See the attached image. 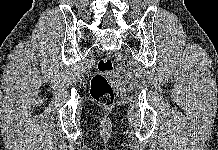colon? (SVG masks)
<instances>
[{
    "label": "colon",
    "instance_id": "5ec220e1",
    "mask_svg": "<svg viewBox=\"0 0 218 150\" xmlns=\"http://www.w3.org/2000/svg\"><path fill=\"white\" fill-rule=\"evenodd\" d=\"M114 67L109 56H103L97 63V73L90 82V95L100 105L109 106L114 102V91L108 80V75Z\"/></svg>",
    "mask_w": 218,
    "mask_h": 150
}]
</instances>
